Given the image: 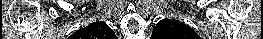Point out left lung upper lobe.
I'll list each match as a JSON object with an SVG mask.
<instances>
[{"instance_id": "1", "label": "left lung upper lobe", "mask_w": 263, "mask_h": 39, "mask_svg": "<svg viewBox=\"0 0 263 39\" xmlns=\"http://www.w3.org/2000/svg\"><path fill=\"white\" fill-rule=\"evenodd\" d=\"M151 39H201V37L183 22L162 19L153 29Z\"/></svg>"}]
</instances>
